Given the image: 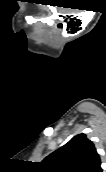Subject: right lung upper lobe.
Masks as SVG:
<instances>
[{
    "instance_id": "1",
    "label": "right lung upper lobe",
    "mask_w": 106,
    "mask_h": 172,
    "mask_svg": "<svg viewBox=\"0 0 106 172\" xmlns=\"http://www.w3.org/2000/svg\"><path fill=\"white\" fill-rule=\"evenodd\" d=\"M40 168L44 172H103L94 144L85 134L76 135L47 156Z\"/></svg>"
}]
</instances>
